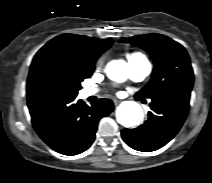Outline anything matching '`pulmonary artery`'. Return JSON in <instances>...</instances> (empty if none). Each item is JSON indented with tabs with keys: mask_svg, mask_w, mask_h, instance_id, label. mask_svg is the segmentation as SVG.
<instances>
[{
	"mask_svg": "<svg viewBox=\"0 0 212 183\" xmlns=\"http://www.w3.org/2000/svg\"><path fill=\"white\" fill-rule=\"evenodd\" d=\"M128 65L130 78L137 82L145 79L150 74L152 69L151 63L145 57L130 60L128 61ZM96 92L97 91L93 88H85L83 90V96L89 97L95 95Z\"/></svg>",
	"mask_w": 212,
	"mask_h": 183,
	"instance_id": "obj_1",
	"label": "pulmonary artery"
}]
</instances>
